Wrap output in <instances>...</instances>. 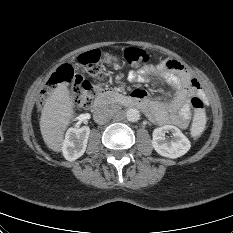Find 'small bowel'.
<instances>
[{
  "label": "small bowel",
  "mask_w": 233,
  "mask_h": 233,
  "mask_svg": "<svg viewBox=\"0 0 233 233\" xmlns=\"http://www.w3.org/2000/svg\"><path fill=\"white\" fill-rule=\"evenodd\" d=\"M153 78L173 84L177 88L174 97L168 101L151 100L145 90L136 89L133 98L155 122L186 128L192 115L190 97L203 93L200 82L182 63L173 58L128 73V79L132 82L147 83Z\"/></svg>",
  "instance_id": "c3829d8e"
}]
</instances>
